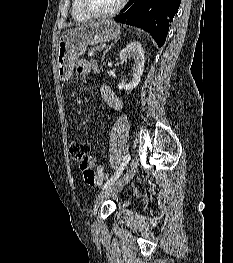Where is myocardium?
<instances>
[{
    "label": "myocardium",
    "instance_id": "obj_1",
    "mask_svg": "<svg viewBox=\"0 0 233 263\" xmlns=\"http://www.w3.org/2000/svg\"><path fill=\"white\" fill-rule=\"evenodd\" d=\"M83 12L90 18H107L119 13L125 6L127 0H120L119 3L111 10L105 12H96L92 10L86 3V0H79Z\"/></svg>",
    "mask_w": 233,
    "mask_h": 263
}]
</instances>
